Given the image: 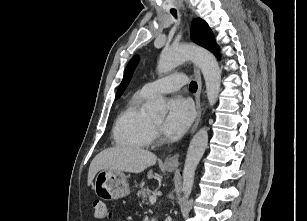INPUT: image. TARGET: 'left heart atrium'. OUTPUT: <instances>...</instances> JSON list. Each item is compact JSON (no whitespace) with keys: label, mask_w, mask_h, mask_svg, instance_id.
<instances>
[{"label":"left heart atrium","mask_w":307,"mask_h":221,"mask_svg":"<svg viewBox=\"0 0 307 221\" xmlns=\"http://www.w3.org/2000/svg\"><path fill=\"white\" fill-rule=\"evenodd\" d=\"M194 112L191 103L182 97H175L169 103V111L163 122V130L169 137H179L190 126Z\"/></svg>","instance_id":"39dd6f15"}]
</instances>
